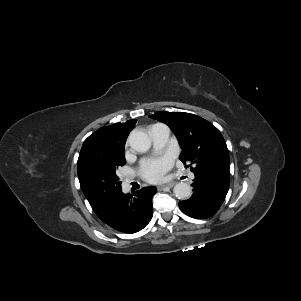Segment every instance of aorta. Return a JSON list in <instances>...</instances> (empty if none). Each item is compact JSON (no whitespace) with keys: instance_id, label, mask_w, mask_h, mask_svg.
<instances>
[{"instance_id":"1","label":"aorta","mask_w":301,"mask_h":301,"mask_svg":"<svg viewBox=\"0 0 301 301\" xmlns=\"http://www.w3.org/2000/svg\"><path fill=\"white\" fill-rule=\"evenodd\" d=\"M129 145L135 151L143 153L150 149L151 140L146 133L134 130L129 135ZM173 191L178 199L184 200L191 196V187L184 182L177 183Z\"/></svg>"}]
</instances>
